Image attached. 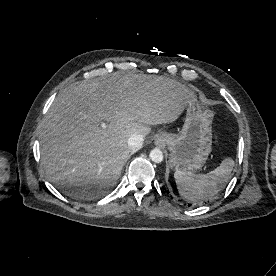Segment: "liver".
I'll return each instance as SVG.
<instances>
[{
    "label": "liver",
    "instance_id": "6515ba94",
    "mask_svg": "<svg viewBox=\"0 0 276 276\" xmlns=\"http://www.w3.org/2000/svg\"><path fill=\"white\" fill-rule=\"evenodd\" d=\"M195 101L193 91L165 76L115 73L70 85L41 124L48 180L76 199L102 195L121 176L129 137L144 138L150 126L174 122Z\"/></svg>",
    "mask_w": 276,
    "mask_h": 276
}]
</instances>
